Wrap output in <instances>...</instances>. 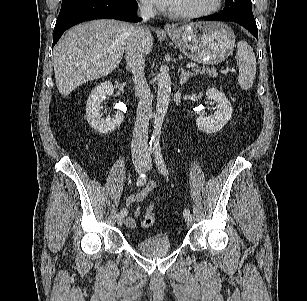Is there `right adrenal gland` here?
Wrapping results in <instances>:
<instances>
[{"label":"right adrenal gland","instance_id":"obj_1","mask_svg":"<svg viewBox=\"0 0 307 301\" xmlns=\"http://www.w3.org/2000/svg\"><path fill=\"white\" fill-rule=\"evenodd\" d=\"M126 69H127L128 71H130V69H129V67H128V66H126Z\"/></svg>","mask_w":307,"mask_h":301}]
</instances>
